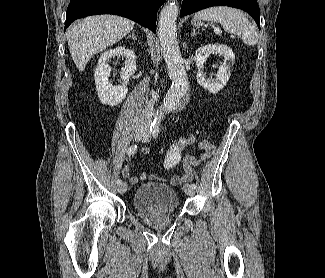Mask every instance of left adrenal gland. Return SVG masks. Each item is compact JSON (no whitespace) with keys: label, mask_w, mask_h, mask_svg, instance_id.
Masks as SVG:
<instances>
[{"label":"left adrenal gland","mask_w":325,"mask_h":278,"mask_svg":"<svg viewBox=\"0 0 325 278\" xmlns=\"http://www.w3.org/2000/svg\"><path fill=\"white\" fill-rule=\"evenodd\" d=\"M198 34H200V33L196 32V30L193 28V32H192L191 36L198 35Z\"/></svg>","instance_id":"a2214340"}]
</instances>
